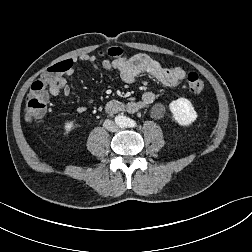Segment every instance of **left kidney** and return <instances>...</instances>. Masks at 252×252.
Wrapping results in <instances>:
<instances>
[{
  "label": "left kidney",
  "mask_w": 252,
  "mask_h": 252,
  "mask_svg": "<svg viewBox=\"0 0 252 252\" xmlns=\"http://www.w3.org/2000/svg\"><path fill=\"white\" fill-rule=\"evenodd\" d=\"M169 109L174 120L181 126L189 125L197 119V113L188 99L179 98L172 101Z\"/></svg>",
  "instance_id": "left-kidney-1"
}]
</instances>
